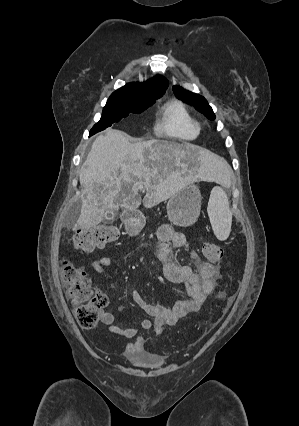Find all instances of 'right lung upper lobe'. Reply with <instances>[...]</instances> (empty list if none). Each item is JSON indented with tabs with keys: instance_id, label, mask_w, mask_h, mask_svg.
<instances>
[{
	"instance_id": "cb5924a9",
	"label": "right lung upper lobe",
	"mask_w": 299,
	"mask_h": 426,
	"mask_svg": "<svg viewBox=\"0 0 299 426\" xmlns=\"http://www.w3.org/2000/svg\"><path fill=\"white\" fill-rule=\"evenodd\" d=\"M168 84L164 77L157 75L144 83H129L113 92L111 96L119 99L135 100L148 92L166 91Z\"/></svg>"
}]
</instances>
